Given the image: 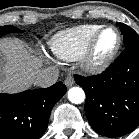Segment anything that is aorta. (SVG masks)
<instances>
[{
	"instance_id": "obj_1",
	"label": "aorta",
	"mask_w": 139,
	"mask_h": 139,
	"mask_svg": "<svg viewBox=\"0 0 139 139\" xmlns=\"http://www.w3.org/2000/svg\"><path fill=\"white\" fill-rule=\"evenodd\" d=\"M68 99L74 104H81L85 101V92L81 87H72L68 91Z\"/></svg>"
}]
</instances>
